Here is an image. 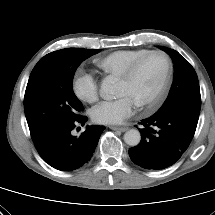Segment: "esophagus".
Listing matches in <instances>:
<instances>
[{"label":"esophagus","instance_id":"34e87169","mask_svg":"<svg viewBox=\"0 0 215 215\" xmlns=\"http://www.w3.org/2000/svg\"><path fill=\"white\" fill-rule=\"evenodd\" d=\"M111 129L115 130V131H121V132H125L128 128L127 127H117V126H112Z\"/></svg>","mask_w":215,"mask_h":215}]
</instances>
